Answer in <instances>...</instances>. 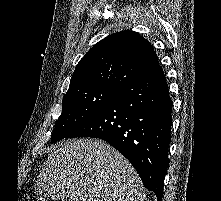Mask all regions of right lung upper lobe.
I'll use <instances>...</instances> for the list:
<instances>
[{"mask_svg": "<svg viewBox=\"0 0 221 201\" xmlns=\"http://www.w3.org/2000/svg\"><path fill=\"white\" fill-rule=\"evenodd\" d=\"M159 67L150 43L134 31H121L99 41L79 61L67 92L88 87L120 90Z\"/></svg>", "mask_w": 221, "mask_h": 201, "instance_id": "cb5924a9", "label": "right lung upper lobe"}]
</instances>
